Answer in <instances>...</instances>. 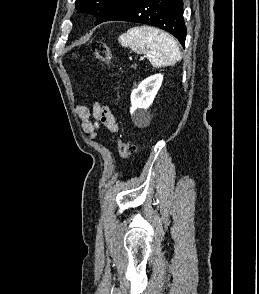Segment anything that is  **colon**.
<instances>
[{
	"label": "colon",
	"instance_id": "1",
	"mask_svg": "<svg viewBox=\"0 0 259 294\" xmlns=\"http://www.w3.org/2000/svg\"><path fill=\"white\" fill-rule=\"evenodd\" d=\"M92 51L96 60L102 65H108L111 63V49L105 42L95 41L92 44ZM118 149L123 160H128L134 152V146L123 137L118 140Z\"/></svg>",
	"mask_w": 259,
	"mask_h": 294
}]
</instances>
